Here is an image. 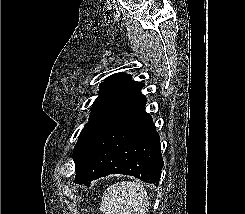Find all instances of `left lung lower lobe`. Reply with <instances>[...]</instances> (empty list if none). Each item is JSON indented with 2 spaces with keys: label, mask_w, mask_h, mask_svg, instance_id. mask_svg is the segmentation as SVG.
<instances>
[{
  "label": "left lung lower lobe",
  "mask_w": 245,
  "mask_h": 214,
  "mask_svg": "<svg viewBox=\"0 0 245 214\" xmlns=\"http://www.w3.org/2000/svg\"><path fill=\"white\" fill-rule=\"evenodd\" d=\"M146 99L109 125L75 162V183L90 186L92 180L110 174L131 175L157 185L163 167L160 137Z\"/></svg>",
  "instance_id": "0a47b994"
}]
</instances>
